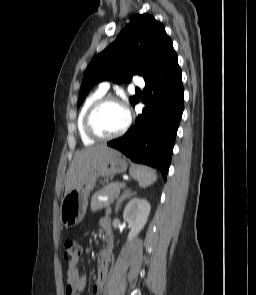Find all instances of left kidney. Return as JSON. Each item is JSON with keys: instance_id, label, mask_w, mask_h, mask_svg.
<instances>
[{"instance_id": "obj_1", "label": "left kidney", "mask_w": 256, "mask_h": 295, "mask_svg": "<svg viewBox=\"0 0 256 295\" xmlns=\"http://www.w3.org/2000/svg\"><path fill=\"white\" fill-rule=\"evenodd\" d=\"M151 210L149 202L141 198H133L126 205L123 219L131 226L128 240L131 241L145 226Z\"/></svg>"}]
</instances>
